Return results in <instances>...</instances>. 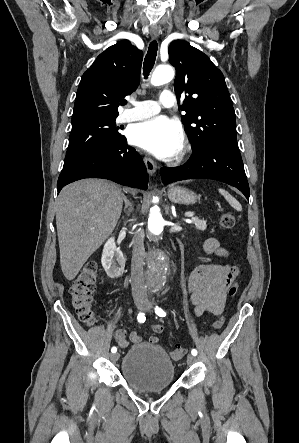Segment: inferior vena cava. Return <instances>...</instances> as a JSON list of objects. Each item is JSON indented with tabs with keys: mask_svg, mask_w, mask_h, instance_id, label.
Here are the masks:
<instances>
[{
	"mask_svg": "<svg viewBox=\"0 0 299 443\" xmlns=\"http://www.w3.org/2000/svg\"><path fill=\"white\" fill-rule=\"evenodd\" d=\"M144 257V235L142 231H136L133 237L131 263V286L133 297L146 296V285L143 274Z\"/></svg>",
	"mask_w": 299,
	"mask_h": 443,
	"instance_id": "obj_1",
	"label": "inferior vena cava"
}]
</instances>
